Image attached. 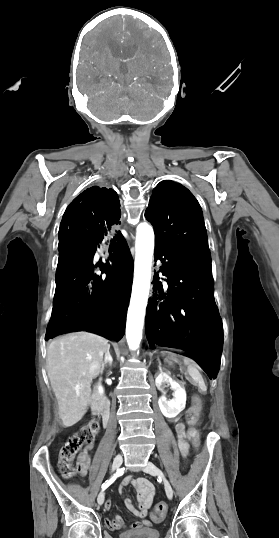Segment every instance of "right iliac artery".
Instances as JSON below:
<instances>
[{"mask_svg":"<svg viewBox=\"0 0 279 538\" xmlns=\"http://www.w3.org/2000/svg\"><path fill=\"white\" fill-rule=\"evenodd\" d=\"M124 468H121V469H117V472L109 479L107 480L103 485H102V490H105L109 485H111L117 477L123 475L124 473Z\"/></svg>","mask_w":279,"mask_h":538,"instance_id":"right-iliac-artery-1","label":"right iliac artery"}]
</instances>
